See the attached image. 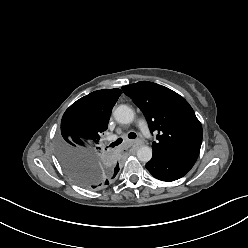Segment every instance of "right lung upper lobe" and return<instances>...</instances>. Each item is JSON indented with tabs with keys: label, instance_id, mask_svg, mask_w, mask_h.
<instances>
[{
	"label": "right lung upper lobe",
	"instance_id": "obj_1",
	"mask_svg": "<svg viewBox=\"0 0 248 248\" xmlns=\"http://www.w3.org/2000/svg\"><path fill=\"white\" fill-rule=\"evenodd\" d=\"M122 91L118 88L94 91L74 102L64 113L61 132L70 135L64 140L62 154L69 152L99 161L115 178L119 165L100 146L101 135L107 129L110 114Z\"/></svg>",
	"mask_w": 248,
	"mask_h": 248
}]
</instances>
